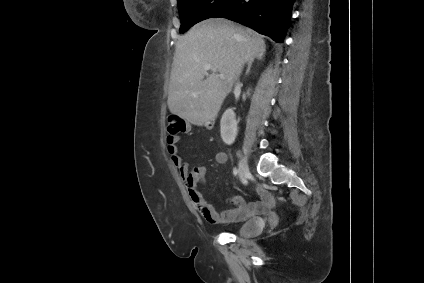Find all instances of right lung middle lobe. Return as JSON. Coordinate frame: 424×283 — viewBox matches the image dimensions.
I'll return each instance as SVG.
<instances>
[{
	"label": "right lung middle lobe",
	"mask_w": 424,
	"mask_h": 283,
	"mask_svg": "<svg viewBox=\"0 0 424 283\" xmlns=\"http://www.w3.org/2000/svg\"><path fill=\"white\" fill-rule=\"evenodd\" d=\"M231 0H178L181 26L180 33H185L196 23L211 18L223 10Z\"/></svg>",
	"instance_id": "right-lung-middle-lobe-1"
}]
</instances>
